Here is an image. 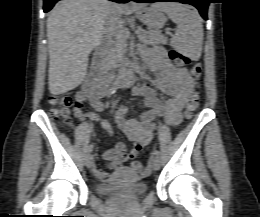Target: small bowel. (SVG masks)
Instances as JSON below:
<instances>
[{
  "label": "small bowel",
  "instance_id": "1",
  "mask_svg": "<svg viewBox=\"0 0 260 217\" xmlns=\"http://www.w3.org/2000/svg\"><path fill=\"white\" fill-rule=\"evenodd\" d=\"M143 59L155 76L151 81L136 84L133 87V94L141 97L151 109L144 112L140 119H126L127 107L120 106L117 108L115 112L116 123L133 141V147L127 152L126 145L123 142H118L115 149L104 152L103 158L108 170L112 172L123 167L128 160L136 157L144 147L150 144L157 117H162L171 126L177 125L181 121V112L194 91L191 75L186 69L175 67L164 50L152 49L146 51ZM159 90L167 97L163 98ZM102 95L101 93L86 95L83 92L78 94L79 100L74 105L73 112L80 119L89 118L98 121L110 135H113L112 127L107 120L102 119L94 112L87 114L82 112L85 100L97 111H102L104 109V105L100 102ZM93 172L100 179H106L109 175L108 171H102L96 167Z\"/></svg>",
  "mask_w": 260,
  "mask_h": 217
}]
</instances>
